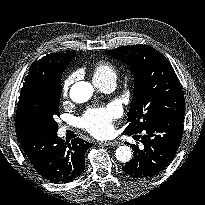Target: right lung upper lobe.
<instances>
[{"mask_svg": "<svg viewBox=\"0 0 205 205\" xmlns=\"http://www.w3.org/2000/svg\"><path fill=\"white\" fill-rule=\"evenodd\" d=\"M74 58V53H52L36 60L29 68V73L24 79V84L36 80H46L52 78L56 73L65 70L70 61ZM17 135H23L25 131L16 130Z\"/></svg>", "mask_w": 205, "mask_h": 205, "instance_id": "right-lung-upper-lobe-1", "label": "right lung upper lobe"}]
</instances>
